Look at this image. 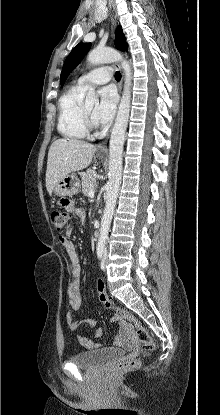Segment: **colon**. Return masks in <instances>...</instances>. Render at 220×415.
<instances>
[{
    "label": "colon",
    "mask_w": 220,
    "mask_h": 415,
    "mask_svg": "<svg viewBox=\"0 0 220 415\" xmlns=\"http://www.w3.org/2000/svg\"><path fill=\"white\" fill-rule=\"evenodd\" d=\"M69 220V214L65 211H53L51 213V221L53 226L57 231H62ZM98 298L100 302L103 304V306L111 310L116 317L122 318L130 323L133 324L136 337L138 341L142 344L144 350L147 352H152L155 350V344L152 340L151 335L148 333V331L143 327L141 322L135 317L133 313L130 311L121 308L113 303L111 298L105 293V292H98ZM139 366V360L138 359H127L121 362L118 365L119 369H134Z\"/></svg>",
    "instance_id": "1"
}]
</instances>
